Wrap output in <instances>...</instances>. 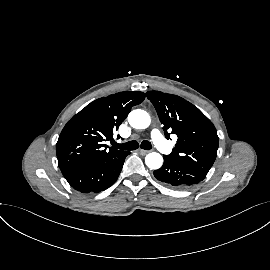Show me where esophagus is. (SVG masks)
Wrapping results in <instances>:
<instances>
[{"mask_svg":"<svg viewBox=\"0 0 270 270\" xmlns=\"http://www.w3.org/2000/svg\"><path fill=\"white\" fill-rule=\"evenodd\" d=\"M138 152L141 154V155H145L148 153L147 150H144V149H139Z\"/></svg>","mask_w":270,"mask_h":270,"instance_id":"1","label":"esophagus"}]
</instances>
